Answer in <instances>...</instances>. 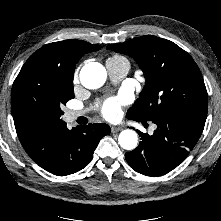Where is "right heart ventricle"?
Masks as SVG:
<instances>
[{"mask_svg":"<svg viewBox=\"0 0 221 221\" xmlns=\"http://www.w3.org/2000/svg\"><path fill=\"white\" fill-rule=\"evenodd\" d=\"M111 58L119 59V58H124V57L115 55V56H113V57H111Z\"/></svg>","mask_w":221,"mask_h":221,"instance_id":"obj_1","label":"right heart ventricle"}]
</instances>
